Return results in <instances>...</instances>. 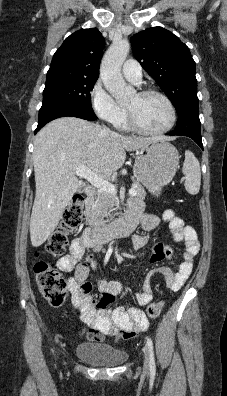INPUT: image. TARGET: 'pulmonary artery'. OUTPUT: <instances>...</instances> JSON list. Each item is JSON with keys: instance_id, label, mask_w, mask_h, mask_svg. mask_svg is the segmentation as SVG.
Segmentation results:
<instances>
[{"instance_id": "e3ab8cb5", "label": "pulmonary artery", "mask_w": 227, "mask_h": 396, "mask_svg": "<svg viewBox=\"0 0 227 396\" xmlns=\"http://www.w3.org/2000/svg\"><path fill=\"white\" fill-rule=\"evenodd\" d=\"M122 74L127 80L134 83H139L142 76V69L136 60L129 59L122 67Z\"/></svg>"}]
</instances>
